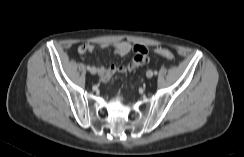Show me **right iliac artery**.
<instances>
[{"label": "right iliac artery", "instance_id": "right-iliac-artery-1", "mask_svg": "<svg viewBox=\"0 0 244 157\" xmlns=\"http://www.w3.org/2000/svg\"><path fill=\"white\" fill-rule=\"evenodd\" d=\"M87 70H91V67L89 65L87 66Z\"/></svg>", "mask_w": 244, "mask_h": 157}]
</instances>
